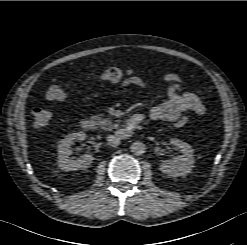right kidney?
Instances as JSON below:
<instances>
[{
    "mask_svg": "<svg viewBox=\"0 0 247 245\" xmlns=\"http://www.w3.org/2000/svg\"><path fill=\"white\" fill-rule=\"evenodd\" d=\"M86 138V134L84 132H76L67 135L64 139H62L58 145V166L60 169L64 171H75L79 169L87 168L94 157L92 154L88 153L79 159H72L70 158V154L72 153L71 145L74 144L76 141H83Z\"/></svg>",
    "mask_w": 247,
    "mask_h": 245,
    "instance_id": "obj_1",
    "label": "right kidney"
}]
</instances>
